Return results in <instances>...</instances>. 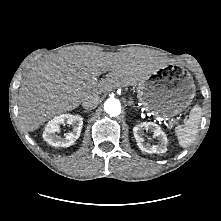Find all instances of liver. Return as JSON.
Listing matches in <instances>:
<instances>
[{
	"label": "liver",
	"instance_id": "6515ba94",
	"mask_svg": "<svg viewBox=\"0 0 221 221\" xmlns=\"http://www.w3.org/2000/svg\"><path fill=\"white\" fill-rule=\"evenodd\" d=\"M158 69L154 57L139 52L83 48L50 55L30 69L20 87V119L28 131H35L77 108L87 96L136 85ZM107 71L106 79L97 80Z\"/></svg>",
	"mask_w": 221,
	"mask_h": 221
}]
</instances>
